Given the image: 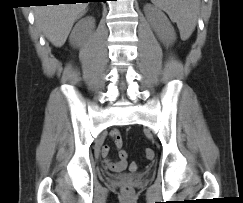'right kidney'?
<instances>
[{"label": "right kidney", "mask_w": 243, "mask_h": 203, "mask_svg": "<svg viewBox=\"0 0 243 203\" xmlns=\"http://www.w3.org/2000/svg\"><path fill=\"white\" fill-rule=\"evenodd\" d=\"M95 26V20L92 17L81 19L73 28L70 35V43L79 45L87 36L92 33Z\"/></svg>", "instance_id": "obj_1"}]
</instances>
